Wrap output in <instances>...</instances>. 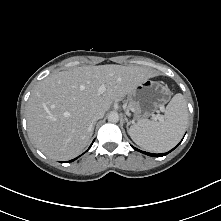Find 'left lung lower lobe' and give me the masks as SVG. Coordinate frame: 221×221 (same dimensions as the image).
<instances>
[{
  "instance_id": "1",
  "label": "left lung lower lobe",
  "mask_w": 221,
  "mask_h": 221,
  "mask_svg": "<svg viewBox=\"0 0 221 221\" xmlns=\"http://www.w3.org/2000/svg\"><path fill=\"white\" fill-rule=\"evenodd\" d=\"M179 145V144H178ZM177 145V146H178ZM176 146V147H177ZM133 147V146H132ZM175 147V148H176ZM135 150H137V151H139V152H142V153H144V154H146V155H149V156H152V157H161V156H164L165 154H168L169 152H171L172 150H174L175 148H173L172 150H170L169 152H167V153H160V154H153V153H148V152H143V151H141V150H138L137 148H135V147H133Z\"/></svg>"
}]
</instances>
